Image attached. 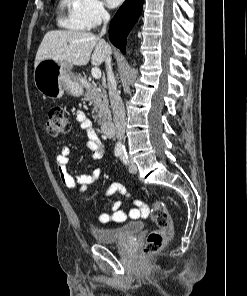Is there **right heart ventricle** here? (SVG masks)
Masks as SVG:
<instances>
[{"label":"right heart ventricle","instance_id":"obj_1","mask_svg":"<svg viewBox=\"0 0 247 296\" xmlns=\"http://www.w3.org/2000/svg\"><path fill=\"white\" fill-rule=\"evenodd\" d=\"M81 0H60L58 3V24L71 30H85L87 27L79 18Z\"/></svg>","mask_w":247,"mask_h":296}]
</instances>
